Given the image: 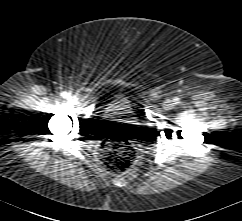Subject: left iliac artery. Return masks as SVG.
Instances as JSON below:
<instances>
[{
    "mask_svg": "<svg viewBox=\"0 0 242 221\" xmlns=\"http://www.w3.org/2000/svg\"><path fill=\"white\" fill-rule=\"evenodd\" d=\"M174 102H175V104H179V103H180V99L176 97V98L174 99Z\"/></svg>",
    "mask_w": 242,
    "mask_h": 221,
    "instance_id": "left-iliac-artery-1",
    "label": "left iliac artery"
}]
</instances>
